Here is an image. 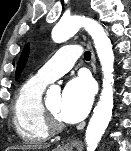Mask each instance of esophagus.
I'll list each match as a JSON object with an SVG mask.
<instances>
[{"mask_svg": "<svg viewBox=\"0 0 131 151\" xmlns=\"http://www.w3.org/2000/svg\"><path fill=\"white\" fill-rule=\"evenodd\" d=\"M95 62H96L95 55H94V52H92V65H93L94 71L96 70ZM72 146H73V143H67L64 147L68 149V148H72Z\"/></svg>", "mask_w": 131, "mask_h": 151, "instance_id": "1", "label": "esophagus"}]
</instances>
